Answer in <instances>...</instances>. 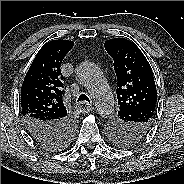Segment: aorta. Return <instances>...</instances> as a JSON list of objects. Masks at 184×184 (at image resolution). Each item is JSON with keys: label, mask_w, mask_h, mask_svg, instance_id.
<instances>
[{"label": "aorta", "mask_w": 184, "mask_h": 184, "mask_svg": "<svg viewBox=\"0 0 184 184\" xmlns=\"http://www.w3.org/2000/svg\"><path fill=\"white\" fill-rule=\"evenodd\" d=\"M75 74L78 81L90 93L98 114L102 117L112 115L115 101L101 69L92 62L84 61L77 65Z\"/></svg>", "instance_id": "obj_1"}]
</instances>
